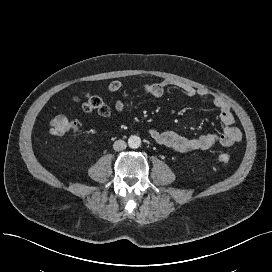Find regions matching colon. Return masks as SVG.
I'll return each mask as SVG.
<instances>
[{"instance_id":"5ec220e1","label":"colon","mask_w":272,"mask_h":272,"mask_svg":"<svg viewBox=\"0 0 272 272\" xmlns=\"http://www.w3.org/2000/svg\"><path fill=\"white\" fill-rule=\"evenodd\" d=\"M74 103H80L82 109L86 112H96L101 116H108L109 108L97 96L86 94L83 97H73ZM76 130V125L63 115L54 117L50 122V133L54 136H61ZM218 161L223 164L231 162V156L228 153L218 154Z\"/></svg>"}]
</instances>
